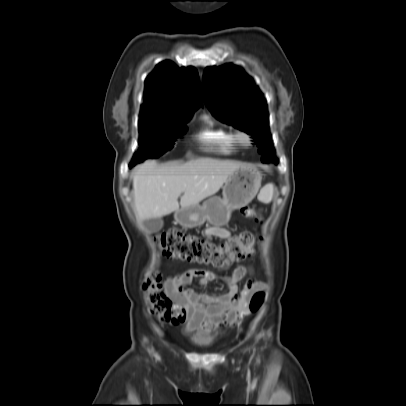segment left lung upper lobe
<instances>
[{"label": "left lung upper lobe", "instance_id": "obj_1", "mask_svg": "<svg viewBox=\"0 0 406 406\" xmlns=\"http://www.w3.org/2000/svg\"><path fill=\"white\" fill-rule=\"evenodd\" d=\"M202 96L216 118L253 136L262 161L277 162L269 135L267 105L252 78L233 65L207 67Z\"/></svg>", "mask_w": 406, "mask_h": 406}]
</instances>
